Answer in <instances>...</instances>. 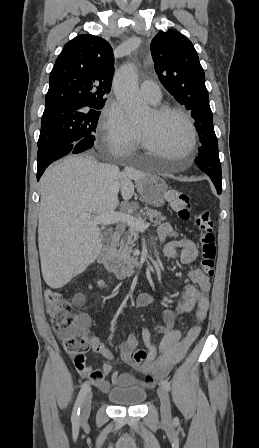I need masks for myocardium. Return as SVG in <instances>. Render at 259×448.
<instances>
[{
	"mask_svg": "<svg viewBox=\"0 0 259 448\" xmlns=\"http://www.w3.org/2000/svg\"><path fill=\"white\" fill-rule=\"evenodd\" d=\"M152 114L157 119L162 118L166 115L175 114L185 121L189 129V141L184 148L183 158L187 161L193 162L195 155L194 149L197 143V130L191 117L182 108L173 105H156L152 108ZM138 130L140 133L143 148L146 152L155 154L159 150H161L154 143L148 132H146L139 126Z\"/></svg>",
	"mask_w": 259,
	"mask_h": 448,
	"instance_id": "obj_1",
	"label": "myocardium"
}]
</instances>
